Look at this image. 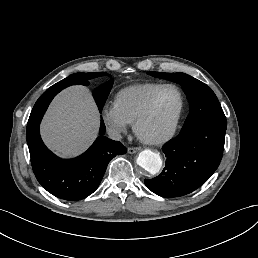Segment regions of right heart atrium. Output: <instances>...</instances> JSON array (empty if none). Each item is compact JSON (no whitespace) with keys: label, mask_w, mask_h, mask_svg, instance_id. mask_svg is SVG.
I'll list each match as a JSON object with an SVG mask.
<instances>
[{"label":"right heart atrium","mask_w":258,"mask_h":258,"mask_svg":"<svg viewBox=\"0 0 258 258\" xmlns=\"http://www.w3.org/2000/svg\"><path fill=\"white\" fill-rule=\"evenodd\" d=\"M102 118L105 125L111 130L122 132L125 131L128 126L127 120L114 103L104 108Z\"/></svg>","instance_id":"obj_1"}]
</instances>
